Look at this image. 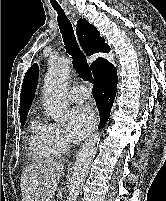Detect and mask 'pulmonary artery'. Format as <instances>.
Instances as JSON below:
<instances>
[{"label": "pulmonary artery", "mask_w": 166, "mask_h": 201, "mask_svg": "<svg viewBox=\"0 0 166 201\" xmlns=\"http://www.w3.org/2000/svg\"><path fill=\"white\" fill-rule=\"evenodd\" d=\"M70 98L75 102H83L89 97V92L84 86H76L70 90Z\"/></svg>", "instance_id": "obj_1"}]
</instances>
